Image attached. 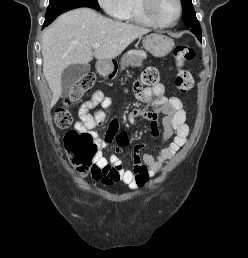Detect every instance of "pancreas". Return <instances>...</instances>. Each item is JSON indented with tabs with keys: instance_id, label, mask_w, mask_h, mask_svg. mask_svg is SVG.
Returning a JSON list of instances; mask_svg holds the SVG:
<instances>
[{
	"instance_id": "pancreas-1",
	"label": "pancreas",
	"mask_w": 248,
	"mask_h": 258,
	"mask_svg": "<svg viewBox=\"0 0 248 258\" xmlns=\"http://www.w3.org/2000/svg\"><path fill=\"white\" fill-rule=\"evenodd\" d=\"M147 55L143 50H132L125 53L120 62L121 70H124L128 66L140 67L142 62L146 59Z\"/></svg>"
}]
</instances>
